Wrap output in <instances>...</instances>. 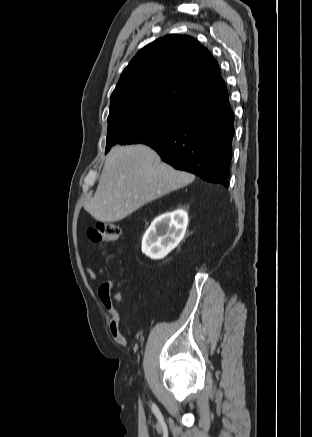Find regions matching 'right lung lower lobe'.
<instances>
[{
    "label": "right lung lower lobe",
    "mask_w": 312,
    "mask_h": 437,
    "mask_svg": "<svg viewBox=\"0 0 312 437\" xmlns=\"http://www.w3.org/2000/svg\"><path fill=\"white\" fill-rule=\"evenodd\" d=\"M234 114L226 92L195 109L175 131L143 142L174 168L200 176L210 183L229 186Z\"/></svg>",
    "instance_id": "obj_1"
}]
</instances>
